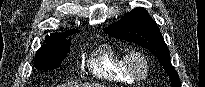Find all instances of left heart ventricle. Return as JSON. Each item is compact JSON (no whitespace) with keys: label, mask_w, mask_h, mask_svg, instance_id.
<instances>
[{"label":"left heart ventricle","mask_w":205,"mask_h":87,"mask_svg":"<svg viewBox=\"0 0 205 87\" xmlns=\"http://www.w3.org/2000/svg\"><path fill=\"white\" fill-rule=\"evenodd\" d=\"M136 66H137V69H138L139 71H141V70L143 69L142 64H140V63H138V62H137V64H136Z\"/></svg>","instance_id":"b2bd125f"}]
</instances>
